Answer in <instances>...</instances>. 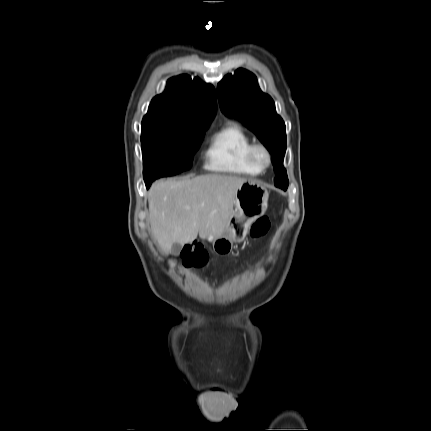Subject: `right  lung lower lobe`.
<instances>
[{"instance_id":"obj_1","label":"right lung lower lobe","mask_w":431,"mask_h":431,"mask_svg":"<svg viewBox=\"0 0 431 431\" xmlns=\"http://www.w3.org/2000/svg\"><path fill=\"white\" fill-rule=\"evenodd\" d=\"M152 182H153V180H151V179H146V180H145L146 187H147V188H149Z\"/></svg>"}]
</instances>
